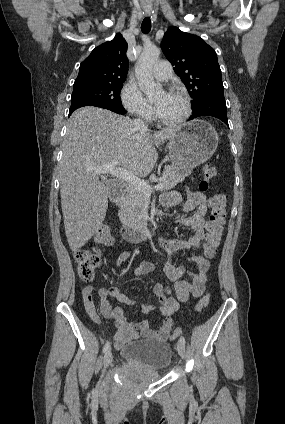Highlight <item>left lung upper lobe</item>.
Returning <instances> with one entry per match:
<instances>
[{
    "label": "left lung upper lobe",
    "instance_id": "5c2ea615",
    "mask_svg": "<svg viewBox=\"0 0 285 424\" xmlns=\"http://www.w3.org/2000/svg\"><path fill=\"white\" fill-rule=\"evenodd\" d=\"M161 48L192 96V107L209 95L224 93L217 54L201 37L171 26Z\"/></svg>",
    "mask_w": 285,
    "mask_h": 424
}]
</instances>
